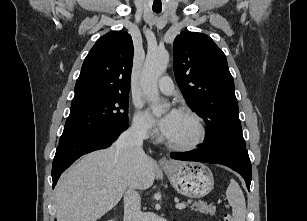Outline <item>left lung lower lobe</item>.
Masks as SVG:
<instances>
[{"mask_svg":"<svg viewBox=\"0 0 307 221\" xmlns=\"http://www.w3.org/2000/svg\"><path fill=\"white\" fill-rule=\"evenodd\" d=\"M171 158L183 161H197L225 165L238 172L244 178L246 186L250 191V183L252 179L250 158L247 150L238 146L217 141L204 144L202 147L190 152L171 153Z\"/></svg>","mask_w":307,"mask_h":221,"instance_id":"obj_1","label":"left lung lower lobe"}]
</instances>
